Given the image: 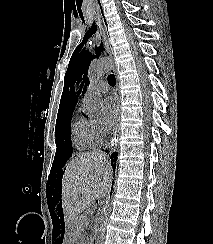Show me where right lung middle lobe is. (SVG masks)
I'll list each match as a JSON object with an SVG mask.
<instances>
[{"mask_svg": "<svg viewBox=\"0 0 213 244\" xmlns=\"http://www.w3.org/2000/svg\"><path fill=\"white\" fill-rule=\"evenodd\" d=\"M72 111H69L57 118L56 135V154L50 171L49 179H54L63 168L68 158L72 156V145L70 141V124Z\"/></svg>", "mask_w": 213, "mask_h": 244, "instance_id": "obj_1", "label": "right lung middle lobe"}]
</instances>
